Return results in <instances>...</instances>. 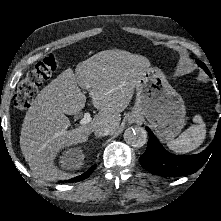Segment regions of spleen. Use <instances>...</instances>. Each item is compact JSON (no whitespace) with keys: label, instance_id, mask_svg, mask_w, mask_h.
<instances>
[{"label":"spleen","instance_id":"1","mask_svg":"<svg viewBox=\"0 0 221 221\" xmlns=\"http://www.w3.org/2000/svg\"><path fill=\"white\" fill-rule=\"evenodd\" d=\"M196 125L190 126L177 139L168 142L170 150L178 154L191 152L198 148L206 137V125L201 115L197 114L193 118Z\"/></svg>","mask_w":221,"mask_h":221}]
</instances>
